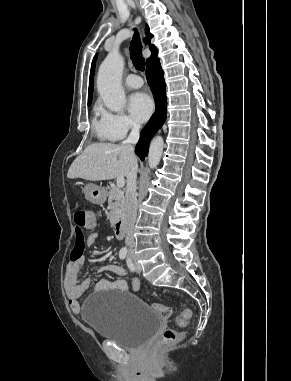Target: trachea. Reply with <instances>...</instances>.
Here are the masks:
<instances>
[{"mask_svg":"<svg viewBox=\"0 0 291 381\" xmlns=\"http://www.w3.org/2000/svg\"><path fill=\"white\" fill-rule=\"evenodd\" d=\"M130 56L135 68L139 71L145 70V60L142 57V44L137 31L133 36L130 46Z\"/></svg>","mask_w":291,"mask_h":381,"instance_id":"3493384b","label":"trachea"}]
</instances>
